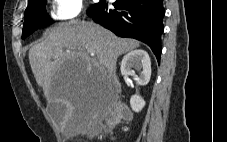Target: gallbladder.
Returning <instances> with one entry per match:
<instances>
[{"label":"gallbladder","mask_w":227,"mask_h":142,"mask_svg":"<svg viewBox=\"0 0 227 142\" xmlns=\"http://www.w3.org/2000/svg\"><path fill=\"white\" fill-rule=\"evenodd\" d=\"M48 114L51 119L59 123L67 114V107L61 102H52L47 107Z\"/></svg>","instance_id":"bac80fb5"}]
</instances>
